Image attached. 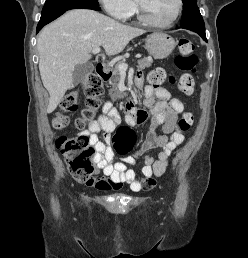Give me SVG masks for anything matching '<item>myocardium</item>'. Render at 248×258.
Masks as SVG:
<instances>
[{
	"label": "myocardium",
	"instance_id": "f54148a6",
	"mask_svg": "<svg viewBox=\"0 0 248 258\" xmlns=\"http://www.w3.org/2000/svg\"><path fill=\"white\" fill-rule=\"evenodd\" d=\"M143 0H134V9L137 14V18L144 24L151 26V27H156V28H167L172 26L180 17L182 10H183V1L182 0H177V10L175 15L167 22L160 23L156 22L152 19H150L143 7Z\"/></svg>",
	"mask_w": 248,
	"mask_h": 258
}]
</instances>
